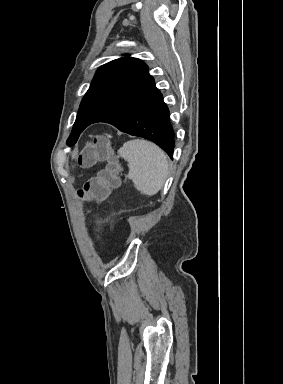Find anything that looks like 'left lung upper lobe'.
<instances>
[{"instance_id": "1", "label": "left lung upper lobe", "mask_w": 283, "mask_h": 384, "mask_svg": "<svg viewBox=\"0 0 283 384\" xmlns=\"http://www.w3.org/2000/svg\"><path fill=\"white\" fill-rule=\"evenodd\" d=\"M149 77L148 66L137 58L123 57L101 66L81 101L67 144L74 145L90 122L118 104Z\"/></svg>"}]
</instances>
